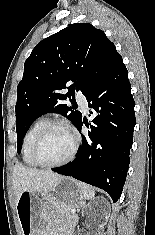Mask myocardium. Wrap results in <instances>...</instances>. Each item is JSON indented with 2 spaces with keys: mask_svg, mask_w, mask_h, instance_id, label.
Here are the masks:
<instances>
[{
  "mask_svg": "<svg viewBox=\"0 0 155 235\" xmlns=\"http://www.w3.org/2000/svg\"><path fill=\"white\" fill-rule=\"evenodd\" d=\"M55 128H62V129H65L66 131H68L73 139V145H72V149H71L69 155L65 159H63L59 162H55V163H47V162H44L40 159L39 148H40L43 140L47 136V134ZM79 145H80V137H79L78 133L76 132V130L71 125H69L68 123H66L62 120H54V121L48 122L45 125V127L39 132V134L36 137L34 144L32 146L31 155H32L33 160L39 166L48 167V168L60 167V166H64V165L70 163L75 158L77 151H78V148H79Z\"/></svg>",
  "mask_w": 155,
  "mask_h": 235,
  "instance_id": "obj_1",
  "label": "myocardium"
}]
</instances>
